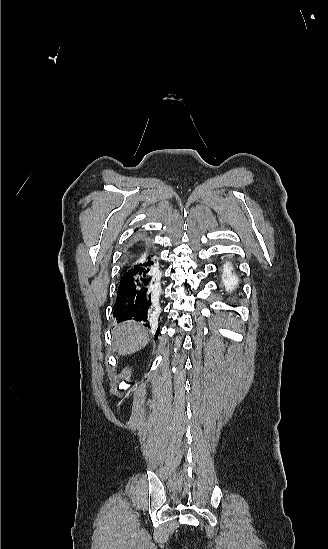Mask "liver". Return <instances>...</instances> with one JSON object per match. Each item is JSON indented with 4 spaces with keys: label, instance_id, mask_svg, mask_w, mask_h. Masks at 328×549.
<instances>
[{
    "label": "liver",
    "instance_id": "obj_1",
    "mask_svg": "<svg viewBox=\"0 0 328 549\" xmlns=\"http://www.w3.org/2000/svg\"><path fill=\"white\" fill-rule=\"evenodd\" d=\"M118 355H131L148 345L149 335L135 321H126L115 327L112 333Z\"/></svg>",
    "mask_w": 328,
    "mask_h": 549
}]
</instances>
